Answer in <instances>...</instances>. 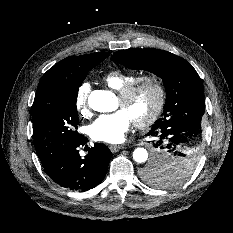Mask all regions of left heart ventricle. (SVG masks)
Listing matches in <instances>:
<instances>
[{"label":"left heart ventricle","mask_w":233,"mask_h":233,"mask_svg":"<svg viewBox=\"0 0 233 233\" xmlns=\"http://www.w3.org/2000/svg\"><path fill=\"white\" fill-rule=\"evenodd\" d=\"M155 102V90L151 83L140 84L130 99L123 102L118 98L117 107L125 110L132 120L145 118Z\"/></svg>","instance_id":"obj_1"}]
</instances>
